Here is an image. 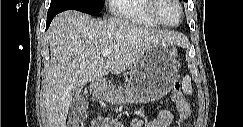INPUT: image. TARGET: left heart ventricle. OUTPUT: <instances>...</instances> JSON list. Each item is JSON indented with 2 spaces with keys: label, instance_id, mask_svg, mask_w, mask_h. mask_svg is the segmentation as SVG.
Segmentation results:
<instances>
[{
  "label": "left heart ventricle",
  "instance_id": "1",
  "mask_svg": "<svg viewBox=\"0 0 243 127\" xmlns=\"http://www.w3.org/2000/svg\"><path fill=\"white\" fill-rule=\"evenodd\" d=\"M158 12L161 18L169 24L176 23L180 18L179 7L173 0H162Z\"/></svg>",
  "mask_w": 243,
  "mask_h": 127
}]
</instances>
